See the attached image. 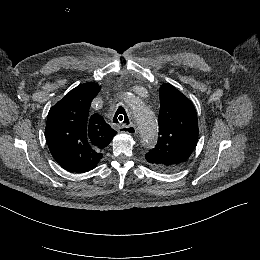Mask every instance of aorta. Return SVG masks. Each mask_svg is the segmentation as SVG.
<instances>
[{"instance_id":"aorta-1","label":"aorta","mask_w":260,"mask_h":260,"mask_svg":"<svg viewBox=\"0 0 260 260\" xmlns=\"http://www.w3.org/2000/svg\"><path fill=\"white\" fill-rule=\"evenodd\" d=\"M128 105L136 119L142 145L146 148H153L158 137L156 117L150 109L136 98L129 99Z\"/></svg>"}]
</instances>
